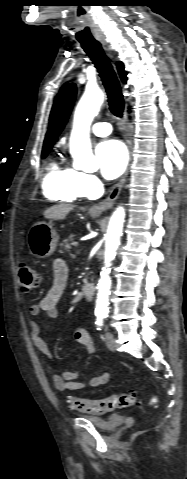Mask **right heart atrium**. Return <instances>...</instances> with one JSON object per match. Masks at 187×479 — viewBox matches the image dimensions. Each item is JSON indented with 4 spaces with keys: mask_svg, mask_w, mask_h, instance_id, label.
I'll return each mask as SVG.
<instances>
[{
    "mask_svg": "<svg viewBox=\"0 0 187 479\" xmlns=\"http://www.w3.org/2000/svg\"><path fill=\"white\" fill-rule=\"evenodd\" d=\"M77 184L82 195L88 197L97 195L101 187V181L99 178L94 174L86 172L77 173Z\"/></svg>",
    "mask_w": 187,
    "mask_h": 479,
    "instance_id": "d8ad5b80",
    "label": "right heart atrium"
}]
</instances>
